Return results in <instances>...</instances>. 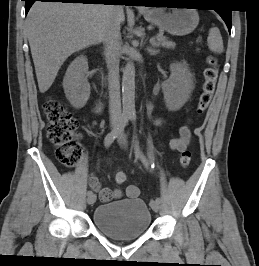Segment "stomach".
Returning <instances> with one entry per match:
<instances>
[{"instance_id": "obj_1", "label": "stomach", "mask_w": 259, "mask_h": 266, "mask_svg": "<svg viewBox=\"0 0 259 266\" xmlns=\"http://www.w3.org/2000/svg\"><path fill=\"white\" fill-rule=\"evenodd\" d=\"M172 5L183 7L184 4L173 3ZM144 17L162 30L178 36L191 33L199 23L198 12L188 8H151L144 11Z\"/></svg>"}]
</instances>
